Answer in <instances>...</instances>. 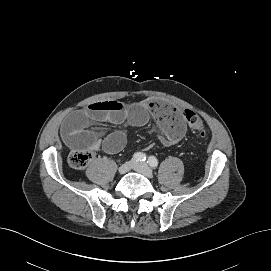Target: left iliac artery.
<instances>
[{"label":"left iliac artery","mask_w":271,"mask_h":271,"mask_svg":"<svg viewBox=\"0 0 271 271\" xmlns=\"http://www.w3.org/2000/svg\"><path fill=\"white\" fill-rule=\"evenodd\" d=\"M147 163L152 167V168H156L158 166V160L156 159V157L154 156H150L148 158Z\"/></svg>","instance_id":"left-iliac-artery-1"}]
</instances>
